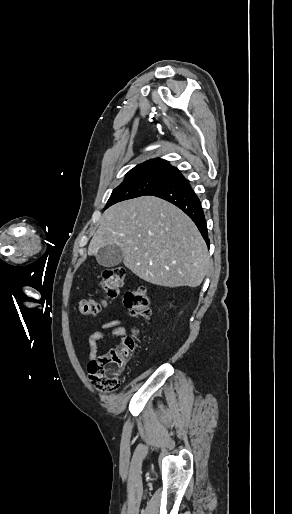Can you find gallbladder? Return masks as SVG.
<instances>
[{
    "label": "gallbladder",
    "mask_w": 292,
    "mask_h": 514,
    "mask_svg": "<svg viewBox=\"0 0 292 514\" xmlns=\"http://www.w3.org/2000/svg\"><path fill=\"white\" fill-rule=\"evenodd\" d=\"M96 260L100 266L104 268H113L118 266L122 262L123 254L120 246L116 244H108V246H102L99 248L97 254H95Z\"/></svg>",
    "instance_id": "gallbladder-1"
}]
</instances>
